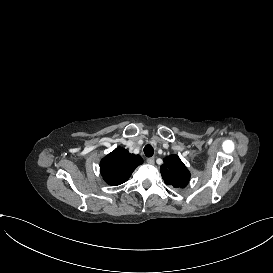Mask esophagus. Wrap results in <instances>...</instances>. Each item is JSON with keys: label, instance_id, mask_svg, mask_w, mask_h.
Listing matches in <instances>:
<instances>
[{"label": "esophagus", "instance_id": "obj_1", "mask_svg": "<svg viewBox=\"0 0 273 273\" xmlns=\"http://www.w3.org/2000/svg\"><path fill=\"white\" fill-rule=\"evenodd\" d=\"M147 163L153 165L155 163L154 157L147 158Z\"/></svg>", "mask_w": 273, "mask_h": 273}]
</instances>
